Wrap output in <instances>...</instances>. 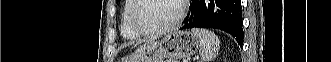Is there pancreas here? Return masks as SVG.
<instances>
[{
    "mask_svg": "<svg viewBox=\"0 0 331 62\" xmlns=\"http://www.w3.org/2000/svg\"><path fill=\"white\" fill-rule=\"evenodd\" d=\"M166 62H174V60H166Z\"/></svg>",
    "mask_w": 331,
    "mask_h": 62,
    "instance_id": "pancreas-1",
    "label": "pancreas"
}]
</instances>
